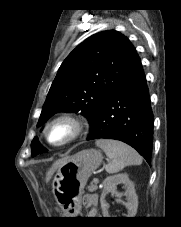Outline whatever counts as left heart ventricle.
I'll list each match as a JSON object with an SVG mask.
<instances>
[{"label":"left heart ventricle","mask_w":181,"mask_h":227,"mask_svg":"<svg viewBox=\"0 0 181 227\" xmlns=\"http://www.w3.org/2000/svg\"><path fill=\"white\" fill-rule=\"evenodd\" d=\"M70 131V127L67 124H56L49 131V140L54 143L61 142L68 137Z\"/></svg>","instance_id":"1"}]
</instances>
